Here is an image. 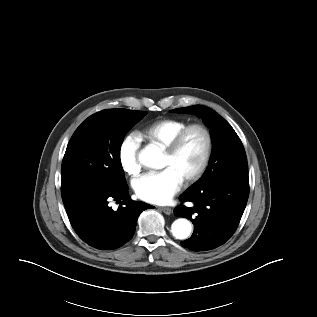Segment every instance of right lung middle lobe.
Returning a JSON list of instances; mask_svg holds the SVG:
<instances>
[{"mask_svg":"<svg viewBox=\"0 0 317 317\" xmlns=\"http://www.w3.org/2000/svg\"><path fill=\"white\" fill-rule=\"evenodd\" d=\"M146 114L127 109L103 110L76 129L61 168L64 204L98 186L126 185L120 148L126 133Z\"/></svg>","mask_w":317,"mask_h":317,"instance_id":"right-lung-middle-lobe-1","label":"right lung middle lobe"}]
</instances>
